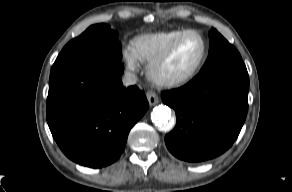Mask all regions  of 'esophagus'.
Returning <instances> with one entry per match:
<instances>
[{
    "mask_svg": "<svg viewBox=\"0 0 292 192\" xmlns=\"http://www.w3.org/2000/svg\"><path fill=\"white\" fill-rule=\"evenodd\" d=\"M146 96L150 105H155L159 101L158 95L154 91H148Z\"/></svg>",
    "mask_w": 292,
    "mask_h": 192,
    "instance_id": "1",
    "label": "esophagus"
}]
</instances>
